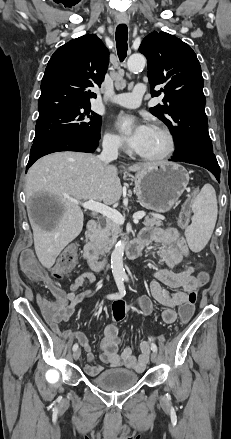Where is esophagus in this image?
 <instances>
[{
	"label": "esophagus",
	"mask_w": 231,
	"mask_h": 439,
	"mask_svg": "<svg viewBox=\"0 0 231 439\" xmlns=\"http://www.w3.org/2000/svg\"><path fill=\"white\" fill-rule=\"evenodd\" d=\"M117 22L121 24H127L129 22V17L126 14L118 15Z\"/></svg>",
	"instance_id": "1"
}]
</instances>
